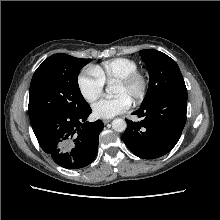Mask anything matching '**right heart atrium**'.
<instances>
[{
	"instance_id": "d8ad5b80",
	"label": "right heart atrium",
	"mask_w": 220,
	"mask_h": 220,
	"mask_svg": "<svg viewBox=\"0 0 220 220\" xmlns=\"http://www.w3.org/2000/svg\"><path fill=\"white\" fill-rule=\"evenodd\" d=\"M77 84L85 101L92 103L101 96L105 83L97 76L92 67L79 74Z\"/></svg>"
}]
</instances>
